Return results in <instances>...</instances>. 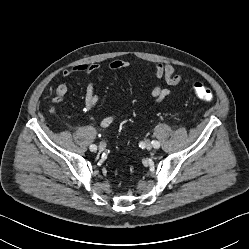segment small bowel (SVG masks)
<instances>
[{"instance_id":"obj_1","label":"small bowel","mask_w":249,"mask_h":249,"mask_svg":"<svg viewBox=\"0 0 249 249\" xmlns=\"http://www.w3.org/2000/svg\"><path fill=\"white\" fill-rule=\"evenodd\" d=\"M129 66L127 61H113L109 64V68L113 70L125 68ZM101 65L97 62L89 64H79L72 68H66L62 74L65 77H69L73 74H85L91 75L97 71ZM152 74L157 79H163L169 86H177L183 80V74L176 71L175 67L171 63L157 62L152 69ZM69 91V87L66 83H61L56 88V94L59 97H64ZM151 96L155 104H161L167 100H171L175 96V90L172 88L161 87L158 84L153 85L151 89ZM99 104V97L96 94V81L91 80L86 86L84 95V108L87 111L93 110ZM124 111L105 116L99 120V125L102 128L109 127L114 121H116Z\"/></svg>"}]
</instances>
